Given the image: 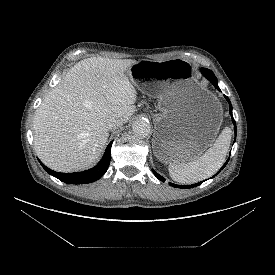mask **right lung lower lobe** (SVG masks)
<instances>
[{
	"label": "right lung lower lobe",
	"mask_w": 275,
	"mask_h": 275,
	"mask_svg": "<svg viewBox=\"0 0 275 275\" xmlns=\"http://www.w3.org/2000/svg\"><path fill=\"white\" fill-rule=\"evenodd\" d=\"M112 142H110L109 145L107 146L101 161L95 167L83 172L59 173L47 168L41 161L39 162L50 175L58 178L59 180L65 183H70V184L91 183L93 181L98 180L100 177H102L106 173L110 163V158H111L110 152H111Z\"/></svg>",
	"instance_id": "obj_1"
}]
</instances>
